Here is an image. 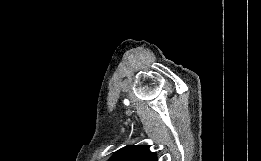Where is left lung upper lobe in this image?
<instances>
[{"instance_id":"5c2ea615","label":"left lung upper lobe","mask_w":261,"mask_h":161,"mask_svg":"<svg viewBox=\"0 0 261 161\" xmlns=\"http://www.w3.org/2000/svg\"><path fill=\"white\" fill-rule=\"evenodd\" d=\"M109 161H156V154L146 145H128L117 151Z\"/></svg>"}]
</instances>
